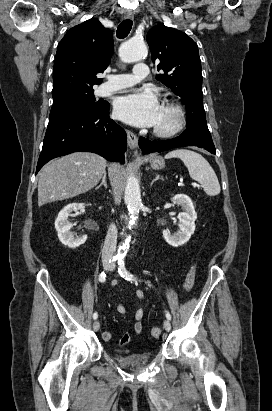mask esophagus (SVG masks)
Here are the masks:
<instances>
[{
  "label": "esophagus",
  "mask_w": 272,
  "mask_h": 411,
  "mask_svg": "<svg viewBox=\"0 0 272 411\" xmlns=\"http://www.w3.org/2000/svg\"><path fill=\"white\" fill-rule=\"evenodd\" d=\"M133 18H134V13L132 11H127L125 13V19L133 20ZM126 134H127L128 145L130 149H132L134 153L137 154V136L129 130H126Z\"/></svg>",
  "instance_id": "esophagus-1"
}]
</instances>
